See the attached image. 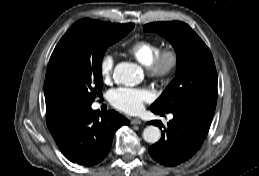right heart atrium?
Returning a JSON list of instances; mask_svg holds the SVG:
<instances>
[{
  "mask_svg": "<svg viewBox=\"0 0 259 176\" xmlns=\"http://www.w3.org/2000/svg\"><path fill=\"white\" fill-rule=\"evenodd\" d=\"M114 67L115 57L110 53H105L102 56L99 64V72L103 81L108 82L111 79Z\"/></svg>",
  "mask_w": 259,
  "mask_h": 176,
  "instance_id": "right-heart-atrium-1",
  "label": "right heart atrium"
}]
</instances>
